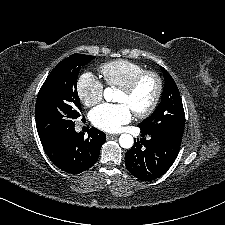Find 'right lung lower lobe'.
<instances>
[{
	"mask_svg": "<svg viewBox=\"0 0 225 225\" xmlns=\"http://www.w3.org/2000/svg\"><path fill=\"white\" fill-rule=\"evenodd\" d=\"M105 141V133L94 127L89 130L87 138H84V133H77L73 127L41 143L53 164L63 171L77 174L96 163Z\"/></svg>",
	"mask_w": 225,
	"mask_h": 225,
	"instance_id": "right-lung-lower-lobe-1",
	"label": "right lung lower lobe"
}]
</instances>
